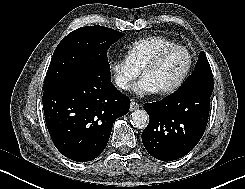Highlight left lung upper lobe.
Returning <instances> with one entry per match:
<instances>
[{"mask_svg": "<svg viewBox=\"0 0 245 189\" xmlns=\"http://www.w3.org/2000/svg\"><path fill=\"white\" fill-rule=\"evenodd\" d=\"M188 87H200L209 91H213L214 84L212 70L203 51L199 55V59L196 63L193 74L180 89Z\"/></svg>", "mask_w": 245, "mask_h": 189, "instance_id": "1", "label": "left lung upper lobe"}]
</instances>
